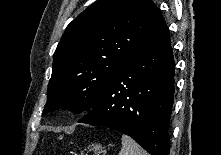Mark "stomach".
<instances>
[{
    "instance_id": "1",
    "label": "stomach",
    "mask_w": 221,
    "mask_h": 155,
    "mask_svg": "<svg viewBox=\"0 0 221 155\" xmlns=\"http://www.w3.org/2000/svg\"><path fill=\"white\" fill-rule=\"evenodd\" d=\"M92 151H94V154L95 155H101V154H105V149L104 147H102V145L100 144H94L92 145V148H91Z\"/></svg>"
}]
</instances>
